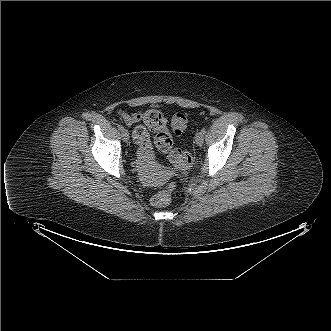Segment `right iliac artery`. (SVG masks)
<instances>
[{"label": "right iliac artery", "instance_id": "right-iliac-artery-1", "mask_svg": "<svg viewBox=\"0 0 331 331\" xmlns=\"http://www.w3.org/2000/svg\"><path fill=\"white\" fill-rule=\"evenodd\" d=\"M117 128H118L120 131H122V130L124 129V127H123L121 124H118V125H117Z\"/></svg>", "mask_w": 331, "mask_h": 331}]
</instances>
